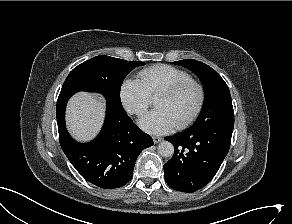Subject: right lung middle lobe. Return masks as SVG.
Wrapping results in <instances>:
<instances>
[{"label": "right lung middle lobe", "instance_id": "obj_1", "mask_svg": "<svg viewBox=\"0 0 292 224\" xmlns=\"http://www.w3.org/2000/svg\"><path fill=\"white\" fill-rule=\"evenodd\" d=\"M109 56H96L75 67L66 78L61 92L87 91L101 93L107 102L122 106L120 89L123 80L135 67L144 65Z\"/></svg>", "mask_w": 292, "mask_h": 224}]
</instances>
